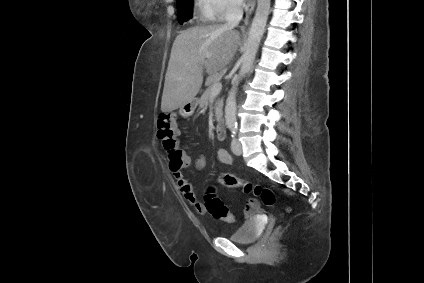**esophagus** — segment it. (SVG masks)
<instances>
[{
  "label": "esophagus",
  "instance_id": "esophagus-1",
  "mask_svg": "<svg viewBox=\"0 0 424 283\" xmlns=\"http://www.w3.org/2000/svg\"><path fill=\"white\" fill-rule=\"evenodd\" d=\"M256 5V0H248L246 7H245V11H246V22L248 21V19L250 18V16L252 15L254 8Z\"/></svg>",
  "mask_w": 424,
  "mask_h": 283
}]
</instances>
